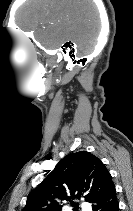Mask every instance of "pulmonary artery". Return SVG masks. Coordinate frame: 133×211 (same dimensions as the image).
<instances>
[{"label":"pulmonary artery","mask_w":133,"mask_h":211,"mask_svg":"<svg viewBox=\"0 0 133 211\" xmlns=\"http://www.w3.org/2000/svg\"><path fill=\"white\" fill-rule=\"evenodd\" d=\"M81 207H82V210H83V211H90V206H89L88 203L83 202V203L81 204Z\"/></svg>","instance_id":"e3ab8cb5"}]
</instances>
